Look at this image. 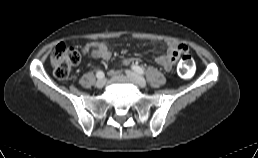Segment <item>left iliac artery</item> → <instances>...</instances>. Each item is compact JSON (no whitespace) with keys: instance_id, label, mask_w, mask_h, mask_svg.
I'll return each instance as SVG.
<instances>
[{"instance_id":"1","label":"left iliac artery","mask_w":258,"mask_h":158,"mask_svg":"<svg viewBox=\"0 0 258 158\" xmlns=\"http://www.w3.org/2000/svg\"><path fill=\"white\" fill-rule=\"evenodd\" d=\"M132 69L135 71V72H137V73H139V74H144L145 72H144V69L142 68V67H140V66H138V65H133L132 66Z\"/></svg>"}]
</instances>
